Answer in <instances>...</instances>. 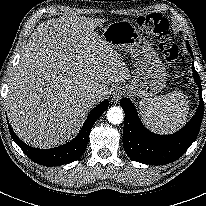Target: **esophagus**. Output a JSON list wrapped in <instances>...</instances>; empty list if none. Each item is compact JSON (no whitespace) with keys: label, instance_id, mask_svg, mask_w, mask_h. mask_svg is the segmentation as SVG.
I'll return each instance as SVG.
<instances>
[{"label":"esophagus","instance_id":"esophagus-1","mask_svg":"<svg viewBox=\"0 0 206 206\" xmlns=\"http://www.w3.org/2000/svg\"><path fill=\"white\" fill-rule=\"evenodd\" d=\"M122 95H123V93L122 92H114V94H113V100L114 101H118V100H120V98L122 97Z\"/></svg>","mask_w":206,"mask_h":206}]
</instances>
